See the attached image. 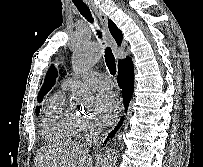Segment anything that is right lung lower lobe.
<instances>
[{"instance_id": "98d812e1", "label": "right lung lower lobe", "mask_w": 203, "mask_h": 167, "mask_svg": "<svg viewBox=\"0 0 203 167\" xmlns=\"http://www.w3.org/2000/svg\"><path fill=\"white\" fill-rule=\"evenodd\" d=\"M117 81H118L119 87L122 89L123 102H124L125 108L127 109L134 90L132 60L125 61L121 63L120 66H118ZM122 121H123V118L121 122ZM120 126H121V123L109 134L108 138H112Z\"/></svg>"}]
</instances>
